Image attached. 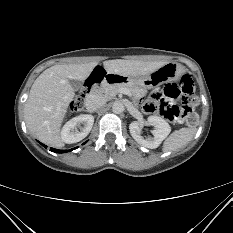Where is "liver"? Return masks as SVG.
<instances>
[{"label": "liver", "mask_w": 233, "mask_h": 233, "mask_svg": "<svg viewBox=\"0 0 233 233\" xmlns=\"http://www.w3.org/2000/svg\"><path fill=\"white\" fill-rule=\"evenodd\" d=\"M166 62L135 60H107L104 69L110 74L128 77L146 76ZM96 62L83 64L54 65L43 71L34 81L24 107L28 130L41 142L53 147H62L60 129L75 93L71 80H86Z\"/></svg>", "instance_id": "6515ba94"}]
</instances>
